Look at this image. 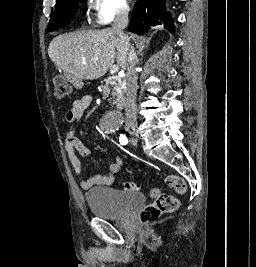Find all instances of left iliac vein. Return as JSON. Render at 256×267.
I'll list each match as a JSON object with an SVG mask.
<instances>
[{
    "mask_svg": "<svg viewBox=\"0 0 256 267\" xmlns=\"http://www.w3.org/2000/svg\"><path fill=\"white\" fill-rule=\"evenodd\" d=\"M131 144L134 145V146L137 145V140L136 139H131Z\"/></svg>",
    "mask_w": 256,
    "mask_h": 267,
    "instance_id": "obj_1",
    "label": "left iliac vein"
}]
</instances>
